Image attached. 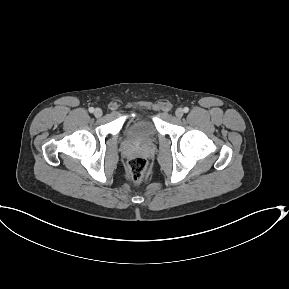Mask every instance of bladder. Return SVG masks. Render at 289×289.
<instances>
[{
  "label": "bladder",
  "mask_w": 289,
  "mask_h": 289,
  "mask_svg": "<svg viewBox=\"0 0 289 289\" xmlns=\"http://www.w3.org/2000/svg\"><path fill=\"white\" fill-rule=\"evenodd\" d=\"M126 132L130 138L137 140H150L157 134L153 119L148 117L128 122Z\"/></svg>",
  "instance_id": "obj_1"
}]
</instances>
